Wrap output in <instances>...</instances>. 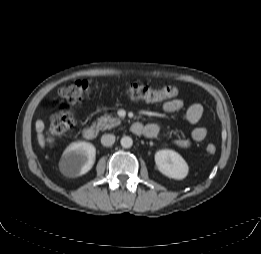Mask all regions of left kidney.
<instances>
[{
  "mask_svg": "<svg viewBox=\"0 0 261 254\" xmlns=\"http://www.w3.org/2000/svg\"><path fill=\"white\" fill-rule=\"evenodd\" d=\"M158 170L165 176L177 180L184 179L189 171L186 161L173 150H159L155 154Z\"/></svg>",
  "mask_w": 261,
  "mask_h": 254,
  "instance_id": "5707ae66",
  "label": "left kidney"
}]
</instances>
